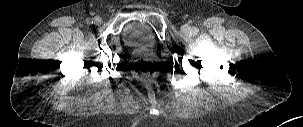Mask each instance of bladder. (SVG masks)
Listing matches in <instances>:
<instances>
[{
    "instance_id": "1",
    "label": "bladder",
    "mask_w": 303,
    "mask_h": 127,
    "mask_svg": "<svg viewBox=\"0 0 303 127\" xmlns=\"http://www.w3.org/2000/svg\"><path fill=\"white\" fill-rule=\"evenodd\" d=\"M124 41L135 48L151 49L155 45V37L151 29L143 23L131 22L123 30Z\"/></svg>"
}]
</instances>
